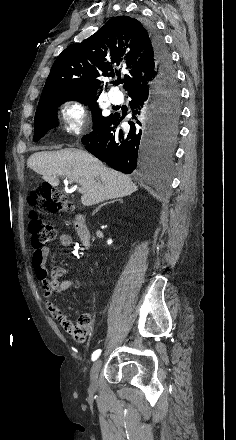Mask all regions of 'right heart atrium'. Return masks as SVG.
Wrapping results in <instances>:
<instances>
[{"mask_svg":"<svg viewBox=\"0 0 236 440\" xmlns=\"http://www.w3.org/2000/svg\"><path fill=\"white\" fill-rule=\"evenodd\" d=\"M59 118L63 130L70 135H79L88 124L85 105L77 99L66 100L60 107Z\"/></svg>","mask_w":236,"mask_h":440,"instance_id":"d8ad5b80","label":"right heart atrium"}]
</instances>
